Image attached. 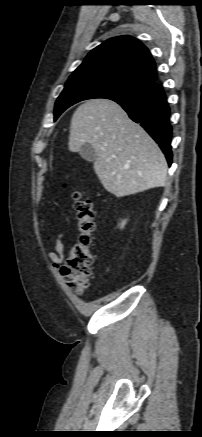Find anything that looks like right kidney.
<instances>
[{
    "label": "right kidney",
    "mask_w": 202,
    "mask_h": 437,
    "mask_svg": "<svg viewBox=\"0 0 202 437\" xmlns=\"http://www.w3.org/2000/svg\"><path fill=\"white\" fill-rule=\"evenodd\" d=\"M125 223H126V221H123V222L121 223V228L124 227Z\"/></svg>",
    "instance_id": "right-kidney-1"
}]
</instances>
